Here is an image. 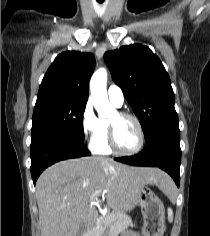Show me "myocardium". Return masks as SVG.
<instances>
[{
	"mask_svg": "<svg viewBox=\"0 0 210 236\" xmlns=\"http://www.w3.org/2000/svg\"><path fill=\"white\" fill-rule=\"evenodd\" d=\"M117 115L121 118H130L136 123L137 128H138V132H139V142H138V145L136 146V148H134L133 150H129V151L122 150L118 146L117 141H116L114 124L109 120V122H108V142H109V146H110L111 150L114 153L122 155V156H132V155L139 153L143 149L144 144H145V131H144V128H143V125H142L140 119L135 114H132L130 112L122 111V112H118Z\"/></svg>",
	"mask_w": 210,
	"mask_h": 236,
	"instance_id": "myocardium-1",
	"label": "myocardium"
}]
</instances>
